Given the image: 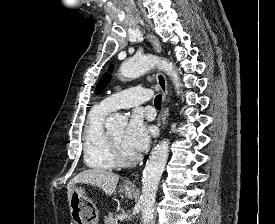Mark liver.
I'll list each match as a JSON object with an SVG mask.
<instances>
[{
    "mask_svg": "<svg viewBox=\"0 0 275 224\" xmlns=\"http://www.w3.org/2000/svg\"><path fill=\"white\" fill-rule=\"evenodd\" d=\"M118 181L119 175L104 169H88L82 171L67 184L68 201L76 183H84L98 187L99 189H102L106 195H112L116 191Z\"/></svg>",
    "mask_w": 275,
    "mask_h": 224,
    "instance_id": "obj_1",
    "label": "liver"
}]
</instances>
